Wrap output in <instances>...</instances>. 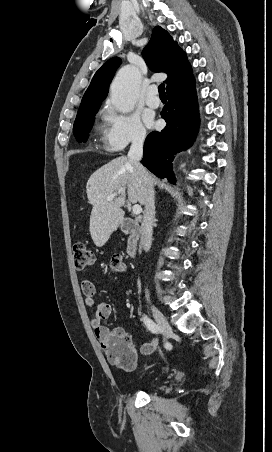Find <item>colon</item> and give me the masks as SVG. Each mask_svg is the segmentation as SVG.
<instances>
[{
    "instance_id": "5ec220e1",
    "label": "colon",
    "mask_w": 272,
    "mask_h": 452,
    "mask_svg": "<svg viewBox=\"0 0 272 452\" xmlns=\"http://www.w3.org/2000/svg\"><path fill=\"white\" fill-rule=\"evenodd\" d=\"M72 253L74 266L78 270L94 263V254L83 241L74 243ZM124 268L122 258L119 255H115L108 265V270L112 273L122 272ZM106 353L108 361L118 368L127 371L135 369L137 358L129 337H110L106 343Z\"/></svg>"
}]
</instances>
